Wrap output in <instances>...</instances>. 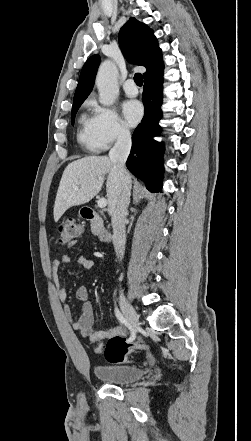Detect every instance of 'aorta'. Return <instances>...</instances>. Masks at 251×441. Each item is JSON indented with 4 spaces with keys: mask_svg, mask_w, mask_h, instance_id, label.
<instances>
[{
    "mask_svg": "<svg viewBox=\"0 0 251 441\" xmlns=\"http://www.w3.org/2000/svg\"><path fill=\"white\" fill-rule=\"evenodd\" d=\"M117 75V67L111 60H106L100 65L96 85L100 96L99 101L104 106L112 105L119 94Z\"/></svg>",
    "mask_w": 251,
    "mask_h": 441,
    "instance_id": "aorta-1",
    "label": "aorta"
}]
</instances>
